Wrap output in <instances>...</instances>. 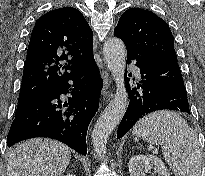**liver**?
Segmentation results:
<instances>
[{"instance_id": "liver-1", "label": "liver", "mask_w": 205, "mask_h": 176, "mask_svg": "<svg viewBox=\"0 0 205 176\" xmlns=\"http://www.w3.org/2000/svg\"><path fill=\"white\" fill-rule=\"evenodd\" d=\"M70 159L66 145L46 138L30 139L10 150L7 176H61Z\"/></svg>"}]
</instances>
